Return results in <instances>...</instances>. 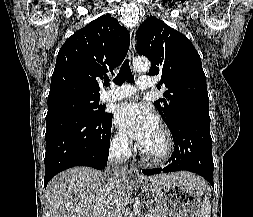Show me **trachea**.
<instances>
[{"label": "trachea", "instance_id": "obj_1", "mask_svg": "<svg viewBox=\"0 0 253 217\" xmlns=\"http://www.w3.org/2000/svg\"><path fill=\"white\" fill-rule=\"evenodd\" d=\"M125 80H128V81H133L134 80V76L132 75L128 59H126L124 61V63L122 64L121 69L119 71V74L116 76V78L113 80V82L116 85H120ZM108 83H109V80L106 81V84H108Z\"/></svg>", "mask_w": 253, "mask_h": 217}]
</instances>
